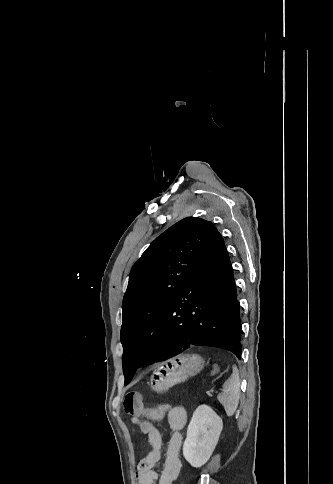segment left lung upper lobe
Listing matches in <instances>:
<instances>
[{"mask_svg":"<svg viewBox=\"0 0 333 484\" xmlns=\"http://www.w3.org/2000/svg\"><path fill=\"white\" fill-rule=\"evenodd\" d=\"M212 223L187 217L158 236L133 265L123 298L121 343L125 385L147 352L150 333Z\"/></svg>","mask_w":333,"mask_h":484,"instance_id":"obj_1","label":"left lung upper lobe"}]
</instances>
